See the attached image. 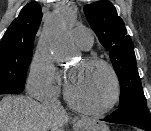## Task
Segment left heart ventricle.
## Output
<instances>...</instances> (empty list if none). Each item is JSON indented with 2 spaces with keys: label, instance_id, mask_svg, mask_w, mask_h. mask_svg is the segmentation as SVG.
<instances>
[{
  "label": "left heart ventricle",
  "instance_id": "left-heart-ventricle-1",
  "mask_svg": "<svg viewBox=\"0 0 151 131\" xmlns=\"http://www.w3.org/2000/svg\"><path fill=\"white\" fill-rule=\"evenodd\" d=\"M68 83L73 97L90 107L104 105L112 94L110 75L100 65H85L82 61L75 64Z\"/></svg>",
  "mask_w": 151,
  "mask_h": 131
}]
</instances>
